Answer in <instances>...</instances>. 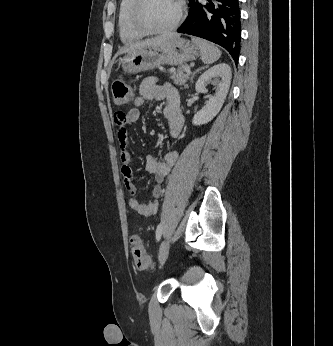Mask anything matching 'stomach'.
Listing matches in <instances>:
<instances>
[{
  "label": "stomach",
  "instance_id": "stomach-1",
  "mask_svg": "<svg viewBox=\"0 0 333 346\" xmlns=\"http://www.w3.org/2000/svg\"><path fill=\"white\" fill-rule=\"evenodd\" d=\"M199 47L184 38H176L159 45L128 52L119 62L123 71L135 74L161 65H183L200 56Z\"/></svg>",
  "mask_w": 333,
  "mask_h": 346
}]
</instances>
